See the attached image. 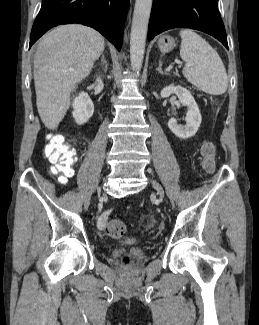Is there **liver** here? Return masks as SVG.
Here are the masks:
<instances>
[{"mask_svg":"<svg viewBox=\"0 0 259 325\" xmlns=\"http://www.w3.org/2000/svg\"><path fill=\"white\" fill-rule=\"evenodd\" d=\"M105 41L90 27H56L39 41L34 56L36 105L45 127L54 130L70 106V95L104 51Z\"/></svg>","mask_w":259,"mask_h":325,"instance_id":"obj_1","label":"liver"}]
</instances>
